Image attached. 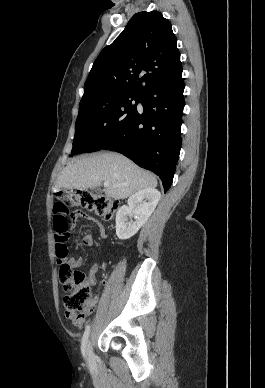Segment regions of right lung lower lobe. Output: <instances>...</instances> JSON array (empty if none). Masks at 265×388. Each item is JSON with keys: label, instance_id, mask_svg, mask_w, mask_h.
<instances>
[{"label": "right lung lower lobe", "instance_id": "right-lung-lower-lobe-1", "mask_svg": "<svg viewBox=\"0 0 265 388\" xmlns=\"http://www.w3.org/2000/svg\"><path fill=\"white\" fill-rule=\"evenodd\" d=\"M182 75L157 83L140 96L136 110L101 149L117 151L153 171L170 188L178 161L184 107Z\"/></svg>", "mask_w": 265, "mask_h": 388}]
</instances>
